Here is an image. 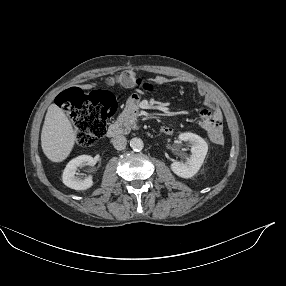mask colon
<instances>
[{
    "label": "colon",
    "mask_w": 286,
    "mask_h": 286,
    "mask_svg": "<svg viewBox=\"0 0 286 286\" xmlns=\"http://www.w3.org/2000/svg\"><path fill=\"white\" fill-rule=\"evenodd\" d=\"M56 100L58 106L72 119L76 143L82 148L93 146L104 135L107 121L117 109L115 97L104 91L86 93L70 88L62 91ZM203 136L211 144L224 142V131L216 123L207 125Z\"/></svg>",
    "instance_id": "obj_1"
}]
</instances>
